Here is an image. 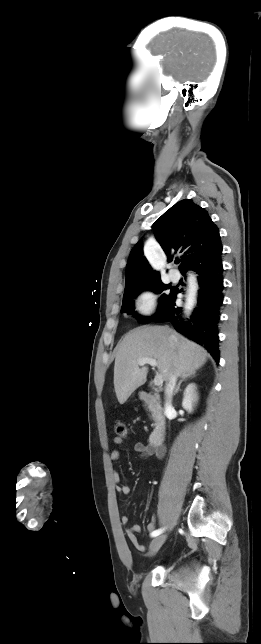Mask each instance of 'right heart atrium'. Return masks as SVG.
<instances>
[{
    "instance_id": "obj_1",
    "label": "right heart atrium",
    "mask_w": 261,
    "mask_h": 644,
    "mask_svg": "<svg viewBox=\"0 0 261 644\" xmlns=\"http://www.w3.org/2000/svg\"><path fill=\"white\" fill-rule=\"evenodd\" d=\"M137 309L144 315L151 314L156 306V296L152 291H143L136 300Z\"/></svg>"
}]
</instances>
